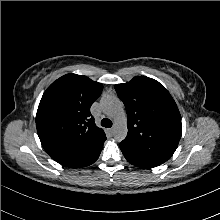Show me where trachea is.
<instances>
[{"instance_id":"obj_1","label":"trachea","mask_w":220,"mask_h":220,"mask_svg":"<svg viewBox=\"0 0 220 220\" xmlns=\"http://www.w3.org/2000/svg\"><path fill=\"white\" fill-rule=\"evenodd\" d=\"M101 125L106 128L112 127V121L108 118H104L101 120Z\"/></svg>"}]
</instances>
